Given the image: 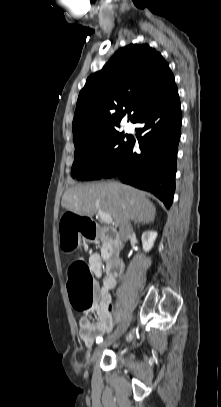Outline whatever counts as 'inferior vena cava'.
<instances>
[{"mask_svg": "<svg viewBox=\"0 0 221 407\" xmlns=\"http://www.w3.org/2000/svg\"><path fill=\"white\" fill-rule=\"evenodd\" d=\"M133 233V228L128 218H125L119 226V234L122 240H126Z\"/></svg>", "mask_w": 221, "mask_h": 407, "instance_id": "inferior-vena-cava-1", "label": "inferior vena cava"}]
</instances>
